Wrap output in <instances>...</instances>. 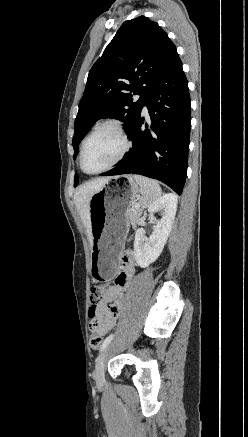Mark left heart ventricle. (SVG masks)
Returning a JSON list of instances; mask_svg holds the SVG:
<instances>
[{
	"instance_id": "left-heart-ventricle-1",
	"label": "left heart ventricle",
	"mask_w": 248,
	"mask_h": 437,
	"mask_svg": "<svg viewBox=\"0 0 248 437\" xmlns=\"http://www.w3.org/2000/svg\"><path fill=\"white\" fill-rule=\"evenodd\" d=\"M123 142L112 129H102L86 144L84 165L89 172H95L109 165L120 153Z\"/></svg>"
}]
</instances>
